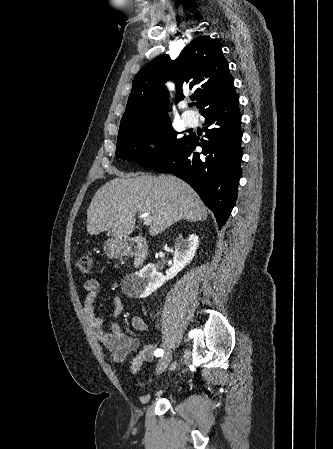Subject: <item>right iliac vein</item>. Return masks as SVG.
Listing matches in <instances>:
<instances>
[{"label":"right iliac vein","instance_id":"63e3f726","mask_svg":"<svg viewBox=\"0 0 333 449\" xmlns=\"http://www.w3.org/2000/svg\"><path fill=\"white\" fill-rule=\"evenodd\" d=\"M171 359H172V355L169 352L160 358L158 365H157V371H156V373L158 375L165 371V369L169 365Z\"/></svg>","mask_w":333,"mask_h":449}]
</instances>
